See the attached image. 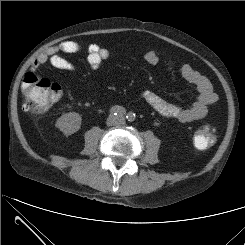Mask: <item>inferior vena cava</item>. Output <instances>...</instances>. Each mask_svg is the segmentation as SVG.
I'll return each mask as SVG.
<instances>
[{"instance_id": "obj_1", "label": "inferior vena cava", "mask_w": 245, "mask_h": 245, "mask_svg": "<svg viewBox=\"0 0 245 245\" xmlns=\"http://www.w3.org/2000/svg\"><path fill=\"white\" fill-rule=\"evenodd\" d=\"M118 122H119L120 124L124 123V118H123V117H119V118H118Z\"/></svg>"}]
</instances>
